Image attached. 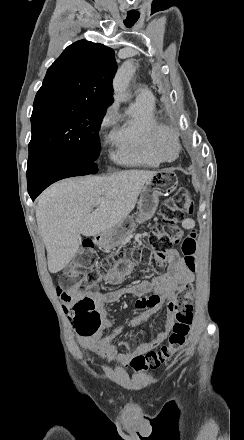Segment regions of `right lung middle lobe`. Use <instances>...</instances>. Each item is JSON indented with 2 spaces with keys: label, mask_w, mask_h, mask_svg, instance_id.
Instances as JSON below:
<instances>
[{
  "label": "right lung middle lobe",
  "mask_w": 244,
  "mask_h": 440,
  "mask_svg": "<svg viewBox=\"0 0 244 440\" xmlns=\"http://www.w3.org/2000/svg\"><path fill=\"white\" fill-rule=\"evenodd\" d=\"M106 109L85 101H34L29 154L46 151L96 161Z\"/></svg>",
  "instance_id": "right-lung-middle-lobe-1"
}]
</instances>
